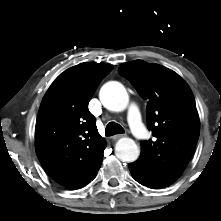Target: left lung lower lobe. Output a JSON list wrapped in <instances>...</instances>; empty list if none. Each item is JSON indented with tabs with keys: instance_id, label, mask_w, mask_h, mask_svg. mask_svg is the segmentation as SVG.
<instances>
[{
	"instance_id": "left-lung-lower-lobe-1",
	"label": "left lung lower lobe",
	"mask_w": 221,
	"mask_h": 221,
	"mask_svg": "<svg viewBox=\"0 0 221 221\" xmlns=\"http://www.w3.org/2000/svg\"><path fill=\"white\" fill-rule=\"evenodd\" d=\"M129 169H130V172L132 174V177L137 182H139L140 184H142L144 186H147V187L151 188L148 181L144 178L142 168L137 164V162L130 163L129 164Z\"/></svg>"
}]
</instances>
